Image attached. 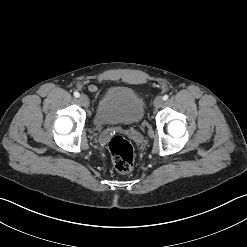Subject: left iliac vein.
<instances>
[{
	"instance_id": "left-iliac-vein-1",
	"label": "left iliac vein",
	"mask_w": 247,
	"mask_h": 247,
	"mask_svg": "<svg viewBox=\"0 0 247 247\" xmlns=\"http://www.w3.org/2000/svg\"><path fill=\"white\" fill-rule=\"evenodd\" d=\"M163 103H164V100L160 96L156 97L155 100H154V106L156 108H160L163 105Z\"/></svg>"
}]
</instances>
